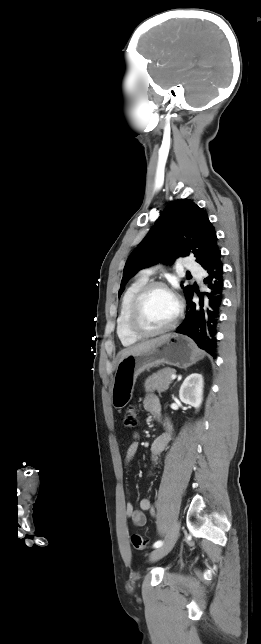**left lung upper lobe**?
<instances>
[{"mask_svg": "<svg viewBox=\"0 0 261 644\" xmlns=\"http://www.w3.org/2000/svg\"><path fill=\"white\" fill-rule=\"evenodd\" d=\"M215 229L207 213L191 200L169 203L155 226L130 254L124 270L119 296L125 284L140 269L158 261L173 262L178 257L193 255L202 267L219 252ZM181 287L186 298L192 285Z\"/></svg>", "mask_w": 261, "mask_h": 644, "instance_id": "left-lung-upper-lobe-1", "label": "left lung upper lobe"}]
</instances>
